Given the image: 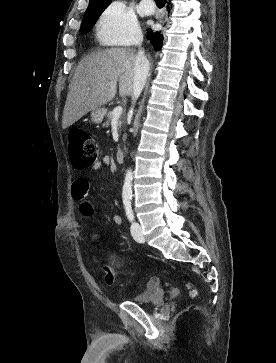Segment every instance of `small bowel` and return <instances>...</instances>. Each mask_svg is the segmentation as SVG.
I'll return each instance as SVG.
<instances>
[{
    "label": "small bowel",
    "mask_w": 276,
    "mask_h": 363,
    "mask_svg": "<svg viewBox=\"0 0 276 363\" xmlns=\"http://www.w3.org/2000/svg\"><path fill=\"white\" fill-rule=\"evenodd\" d=\"M109 163L107 156L102 157L98 162L93 164L92 170H99L102 166ZM72 198L80 203V212L84 217H92L94 215V208L88 201L90 185L86 178L80 177L74 180L71 187ZM114 206L119 207L117 200L114 201ZM113 221L115 224L120 225L122 218L119 214L113 215Z\"/></svg>",
    "instance_id": "obj_1"
}]
</instances>
